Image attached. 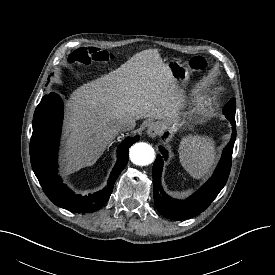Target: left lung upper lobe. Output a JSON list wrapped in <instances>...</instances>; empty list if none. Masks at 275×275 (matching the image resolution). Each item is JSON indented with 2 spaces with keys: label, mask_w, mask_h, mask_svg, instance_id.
Segmentation results:
<instances>
[{
  "label": "left lung upper lobe",
  "mask_w": 275,
  "mask_h": 275,
  "mask_svg": "<svg viewBox=\"0 0 275 275\" xmlns=\"http://www.w3.org/2000/svg\"><path fill=\"white\" fill-rule=\"evenodd\" d=\"M235 110H236V100L235 99L230 100L224 106V114H225L226 118H228L230 121H235Z\"/></svg>",
  "instance_id": "1"
}]
</instances>
